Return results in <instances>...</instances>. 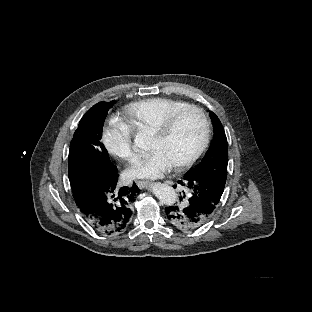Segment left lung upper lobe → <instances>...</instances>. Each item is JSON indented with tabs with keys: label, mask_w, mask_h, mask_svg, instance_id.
<instances>
[{
	"label": "left lung upper lobe",
	"mask_w": 312,
	"mask_h": 312,
	"mask_svg": "<svg viewBox=\"0 0 312 312\" xmlns=\"http://www.w3.org/2000/svg\"><path fill=\"white\" fill-rule=\"evenodd\" d=\"M209 116L214 127V137L202 161L184 176L185 179L194 178L198 175L214 170L227 172L228 148L224 128L217 115L210 111Z\"/></svg>",
	"instance_id": "obj_1"
}]
</instances>
